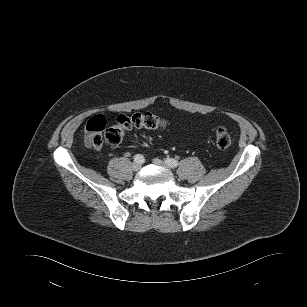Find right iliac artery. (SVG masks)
<instances>
[{"label":"right iliac artery","mask_w":307,"mask_h":307,"mask_svg":"<svg viewBox=\"0 0 307 307\" xmlns=\"http://www.w3.org/2000/svg\"><path fill=\"white\" fill-rule=\"evenodd\" d=\"M134 161L139 162V163H143L144 157L140 154H137V155L134 156Z\"/></svg>","instance_id":"obj_1"}]
</instances>
